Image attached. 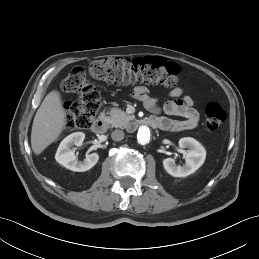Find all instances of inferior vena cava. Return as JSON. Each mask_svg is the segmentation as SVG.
<instances>
[{"instance_id":"602c4592","label":"inferior vena cava","mask_w":259,"mask_h":259,"mask_svg":"<svg viewBox=\"0 0 259 259\" xmlns=\"http://www.w3.org/2000/svg\"><path fill=\"white\" fill-rule=\"evenodd\" d=\"M124 132L122 130H114L112 133H111V138L114 140V141H121L124 139Z\"/></svg>"}]
</instances>
